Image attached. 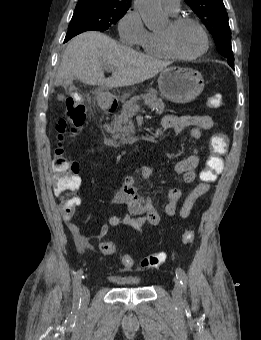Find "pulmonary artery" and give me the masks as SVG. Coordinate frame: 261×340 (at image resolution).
I'll list each match as a JSON object with an SVG mask.
<instances>
[{
	"label": "pulmonary artery",
	"instance_id": "e3ab8cb5",
	"mask_svg": "<svg viewBox=\"0 0 261 340\" xmlns=\"http://www.w3.org/2000/svg\"><path fill=\"white\" fill-rule=\"evenodd\" d=\"M162 6L171 14L176 15L180 8V0H160Z\"/></svg>",
	"mask_w": 261,
	"mask_h": 340
}]
</instances>
